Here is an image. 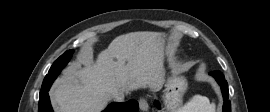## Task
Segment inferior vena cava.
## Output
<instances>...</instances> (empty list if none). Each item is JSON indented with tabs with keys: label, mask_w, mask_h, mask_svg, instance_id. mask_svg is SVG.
Listing matches in <instances>:
<instances>
[{
	"label": "inferior vena cava",
	"mask_w": 270,
	"mask_h": 112,
	"mask_svg": "<svg viewBox=\"0 0 270 112\" xmlns=\"http://www.w3.org/2000/svg\"><path fill=\"white\" fill-rule=\"evenodd\" d=\"M125 99V93L117 92L113 95V100L117 102H123Z\"/></svg>",
	"instance_id": "1"
}]
</instances>
